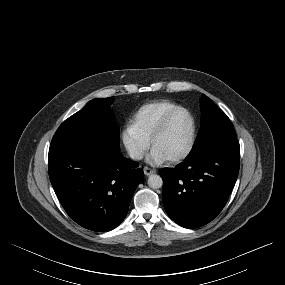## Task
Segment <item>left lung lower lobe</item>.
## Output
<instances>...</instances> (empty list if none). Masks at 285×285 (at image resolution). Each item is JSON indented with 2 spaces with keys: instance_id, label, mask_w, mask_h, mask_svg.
Masks as SVG:
<instances>
[{
  "instance_id": "obj_1",
  "label": "left lung lower lobe",
  "mask_w": 285,
  "mask_h": 285,
  "mask_svg": "<svg viewBox=\"0 0 285 285\" xmlns=\"http://www.w3.org/2000/svg\"><path fill=\"white\" fill-rule=\"evenodd\" d=\"M239 150H224L162 169V200L168 216L185 228L212 221L225 206L235 185Z\"/></svg>"
}]
</instances>
